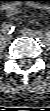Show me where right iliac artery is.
Instances as JSON below:
<instances>
[{
  "instance_id": "obj_1",
  "label": "right iliac artery",
  "mask_w": 50,
  "mask_h": 111,
  "mask_svg": "<svg viewBox=\"0 0 50 111\" xmlns=\"http://www.w3.org/2000/svg\"><path fill=\"white\" fill-rule=\"evenodd\" d=\"M14 29H15V27L13 25L8 24L3 27L2 32L7 33V34H11L14 31Z\"/></svg>"
}]
</instances>
